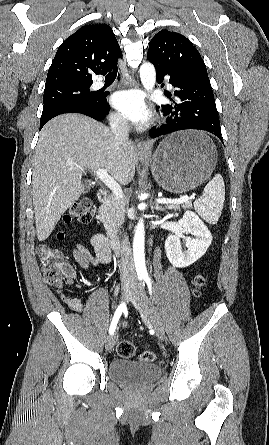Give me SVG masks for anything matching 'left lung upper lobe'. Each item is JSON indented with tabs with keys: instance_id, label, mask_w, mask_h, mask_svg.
<instances>
[{
	"instance_id": "obj_1",
	"label": "left lung upper lobe",
	"mask_w": 269,
	"mask_h": 445,
	"mask_svg": "<svg viewBox=\"0 0 269 445\" xmlns=\"http://www.w3.org/2000/svg\"><path fill=\"white\" fill-rule=\"evenodd\" d=\"M148 60L154 66L169 71H200L207 73L197 49L183 35L169 31H159L149 43Z\"/></svg>"
}]
</instances>
